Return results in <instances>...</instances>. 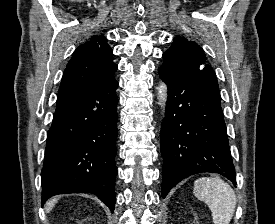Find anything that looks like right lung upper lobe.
Returning a JSON list of instances; mask_svg holds the SVG:
<instances>
[{"label": "right lung upper lobe", "mask_w": 275, "mask_h": 224, "mask_svg": "<svg viewBox=\"0 0 275 224\" xmlns=\"http://www.w3.org/2000/svg\"><path fill=\"white\" fill-rule=\"evenodd\" d=\"M103 35H94L73 53L62 77L58 97L79 93L114 81L117 65Z\"/></svg>", "instance_id": "right-lung-upper-lobe-1"}]
</instances>
